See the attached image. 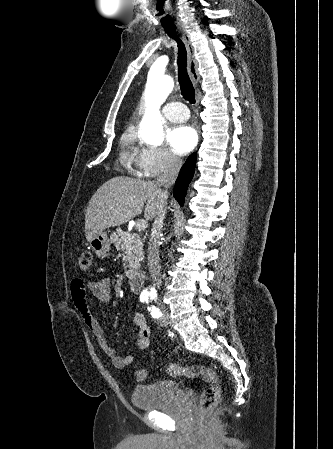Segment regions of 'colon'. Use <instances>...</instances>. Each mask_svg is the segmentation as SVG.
I'll return each mask as SVG.
<instances>
[{"mask_svg":"<svg viewBox=\"0 0 333 449\" xmlns=\"http://www.w3.org/2000/svg\"><path fill=\"white\" fill-rule=\"evenodd\" d=\"M91 253L83 252L78 258V268L87 271L91 267ZM167 373L177 378H196L201 377L208 383L200 396V408L206 410L216 404L220 396V385L215 371L203 365L181 366L178 364H169L166 368ZM147 372L140 369L136 372V378L139 381L145 380Z\"/></svg>","mask_w":333,"mask_h":449,"instance_id":"colon-1","label":"colon"}]
</instances>
